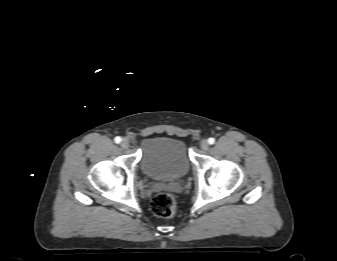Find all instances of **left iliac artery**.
I'll use <instances>...</instances> for the list:
<instances>
[{
	"label": "left iliac artery",
	"instance_id": "obj_1",
	"mask_svg": "<svg viewBox=\"0 0 337 261\" xmlns=\"http://www.w3.org/2000/svg\"><path fill=\"white\" fill-rule=\"evenodd\" d=\"M208 143L211 144V145L214 144L215 143V139L214 138H209L208 139Z\"/></svg>",
	"mask_w": 337,
	"mask_h": 261
}]
</instances>
